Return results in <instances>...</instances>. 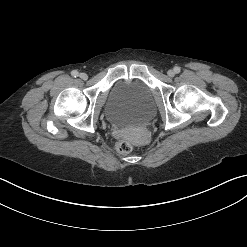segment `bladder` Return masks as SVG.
Masks as SVG:
<instances>
[{"label":"bladder","instance_id":"bladder-1","mask_svg":"<svg viewBox=\"0 0 247 247\" xmlns=\"http://www.w3.org/2000/svg\"><path fill=\"white\" fill-rule=\"evenodd\" d=\"M104 113L107 120L116 126L145 124L156 113L153 92L142 81H120L112 87Z\"/></svg>","mask_w":247,"mask_h":247}]
</instances>
